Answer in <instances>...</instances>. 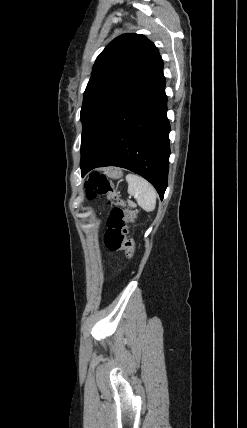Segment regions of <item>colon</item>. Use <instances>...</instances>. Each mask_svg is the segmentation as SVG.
<instances>
[{"mask_svg":"<svg viewBox=\"0 0 247 428\" xmlns=\"http://www.w3.org/2000/svg\"><path fill=\"white\" fill-rule=\"evenodd\" d=\"M87 197L93 199L105 196L112 209L107 220V229L104 234V244L109 251H124L130 257L136 253V246L128 238L129 226L135 218V211L120 199L114 184L105 176L90 175L85 184Z\"/></svg>","mask_w":247,"mask_h":428,"instance_id":"1","label":"colon"}]
</instances>
